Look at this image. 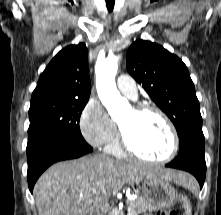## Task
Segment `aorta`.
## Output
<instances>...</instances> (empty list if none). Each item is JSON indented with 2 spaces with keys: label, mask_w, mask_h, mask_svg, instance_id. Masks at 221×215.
<instances>
[{
  "label": "aorta",
  "mask_w": 221,
  "mask_h": 215,
  "mask_svg": "<svg viewBox=\"0 0 221 215\" xmlns=\"http://www.w3.org/2000/svg\"><path fill=\"white\" fill-rule=\"evenodd\" d=\"M119 59V56L110 54L106 59L98 60L95 66L98 96L112 117L120 108L129 107L128 101L120 95L115 83Z\"/></svg>",
  "instance_id": "aorta-1"
}]
</instances>
